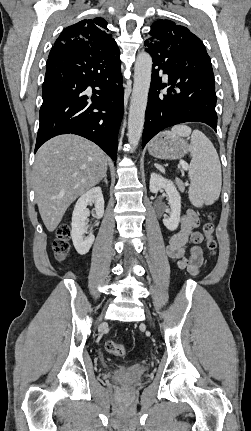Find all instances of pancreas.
<instances>
[{"label":"pancreas","mask_w":251,"mask_h":431,"mask_svg":"<svg viewBox=\"0 0 251 431\" xmlns=\"http://www.w3.org/2000/svg\"><path fill=\"white\" fill-rule=\"evenodd\" d=\"M176 183H177V185H178V187H179V190H180L181 192H184L185 187H184L183 182H182L181 180H179V179H176Z\"/></svg>","instance_id":"pancreas-1"}]
</instances>
